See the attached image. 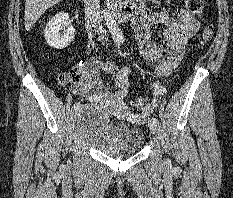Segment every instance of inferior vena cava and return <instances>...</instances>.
Listing matches in <instances>:
<instances>
[{
	"label": "inferior vena cava",
	"mask_w": 233,
	"mask_h": 198,
	"mask_svg": "<svg viewBox=\"0 0 233 198\" xmlns=\"http://www.w3.org/2000/svg\"><path fill=\"white\" fill-rule=\"evenodd\" d=\"M84 3L86 14L91 19L95 32L99 35V39L106 41V31L102 25V12H100L99 0H84Z\"/></svg>",
	"instance_id": "1"
}]
</instances>
